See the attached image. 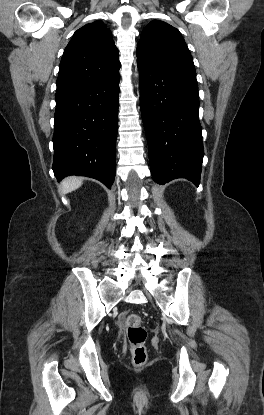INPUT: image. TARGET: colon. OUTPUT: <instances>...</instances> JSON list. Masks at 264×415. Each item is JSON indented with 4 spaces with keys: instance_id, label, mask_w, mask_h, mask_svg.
<instances>
[{
    "instance_id": "1",
    "label": "colon",
    "mask_w": 264,
    "mask_h": 415,
    "mask_svg": "<svg viewBox=\"0 0 264 415\" xmlns=\"http://www.w3.org/2000/svg\"><path fill=\"white\" fill-rule=\"evenodd\" d=\"M141 323L142 319L139 314L131 313L126 317L132 360L136 367H142L148 359V353L145 347L147 332Z\"/></svg>"
}]
</instances>
